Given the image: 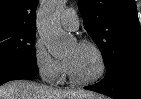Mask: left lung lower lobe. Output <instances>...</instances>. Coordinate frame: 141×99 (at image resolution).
Segmentation results:
<instances>
[{"label":"left lung lower lobe","mask_w":141,"mask_h":99,"mask_svg":"<svg viewBox=\"0 0 141 99\" xmlns=\"http://www.w3.org/2000/svg\"><path fill=\"white\" fill-rule=\"evenodd\" d=\"M85 88L114 99H141V64L121 66L99 83Z\"/></svg>","instance_id":"left-lung-lower-lobe-1"}]
</instances>
